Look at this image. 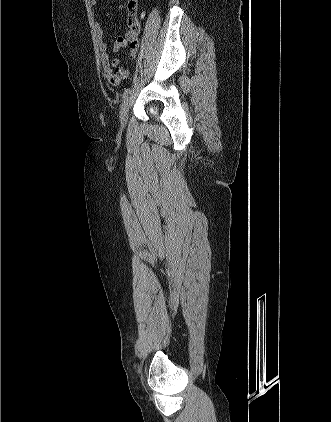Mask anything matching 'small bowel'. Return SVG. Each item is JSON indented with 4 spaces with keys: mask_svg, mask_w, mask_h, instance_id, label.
Returning <instances> with one entry per match:
<instances>
[{
    "mask_svg": "<svg viewBox=\"0 0 331 422\" xmlns=\"http://www.w3.org/2000/svg\"><path fill=\"white\" fill-rule=\"evenodd\" d=\"M99 0H90L92 7H97ZM131 29L126 31L124 35L116 38L113 44V51L118 53L128 48L129 56L133 59L138 50V33L139 23L137 20L131 21L129 18ZM94 29L97 38V46L101 53V68L104 78L112 86H118L123 80L129 76V71L121 66L119 58L110 59L108 54V44L104 38L103 29L99 19L94 17Z\"/></svg>",
    "mask_w": 331,
    "mask_h": 422,
    "instance_id": "c3829d8e",
    "label": "small bowel"
}]
</instances>
